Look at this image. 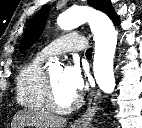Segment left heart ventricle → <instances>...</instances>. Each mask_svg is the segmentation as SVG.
<instances>
[{"instance_id": "left-heart-ventricle-1", "label": "left heart ventricle", "mask_w": 142, "mask_h": 128, "mask_svg": "<svg viewBox=\"0 0 142 128\" xmlns=\"http://www.w3.org/2000/svg\"><path fill=\"white\" fill-rule=\"evenodd\" d=\"M49 74L51 77L57 103L60 106L69 105L75 98V96L71 94L61 82L63 69L61 67L55 68L54 70L50 71Z\"/></svg>"}]
</instances>
